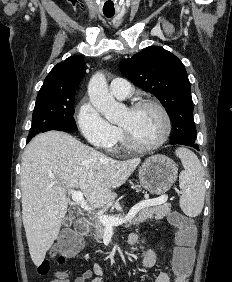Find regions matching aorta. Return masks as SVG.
<instances>
[{
    "label": "aorta",
    "instance_id": "obj_1",
    "mask_svg": "<svg viewBox=\"0 0 232 282\" xmlns=\"http://www.w3.org/2000/svg\"><path fill=\"white\" fill-rule=\"evenodd\" d=\"M88 95L92 105L111 123H118L125 106L119 104L109 92L106 78L102 72L95 73L88 84Z\"/></svg>",
    "mask_w": 232,
    "mask_h": 282
}]
</instances>
